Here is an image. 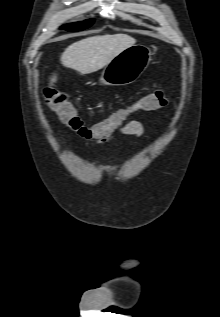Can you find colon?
<instances>
[{
  "label": "colon",
  "mask_w": 220,
  "mask_h": 317,
  "mask_svg": "<svg viewBox=\"0 0 220 317\" xmlns=\"http://www.w3.org/2000/svg\"><path fill=\"white\" fill-rule=\"evenodd\" d=\"M45 99L61 121L71 130L80 134L88 129H92L95 135L104 136L111 134L123 126L130 112L155 111L164 107L169 102L170 96L165 91L156 90L140 98L131 110H118L92 126L86 125L66 94L58 92L55 89H49L45 92Z\"/></svg>",
  "instance_id": "obj_1"
}]
</instances>
